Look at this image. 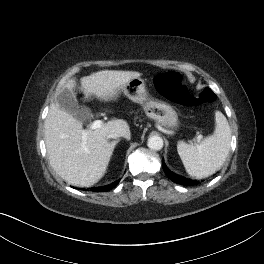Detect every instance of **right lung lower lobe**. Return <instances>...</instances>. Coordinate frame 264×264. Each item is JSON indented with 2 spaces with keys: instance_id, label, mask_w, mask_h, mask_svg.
Wrapping results in <instances>:
<instances>
[{
  "instance_id": "right-lung-lower-lobe-1",
  "label": "right lung lower lobe",
  "mask_w": 264,
  "mask_h": 264,
  "mask_svg": "<svg viewBox=\"0 0 264 264\" xmlns=\"http://www.w3.org/2000/svg\"><path fill=\"white\" fill-rule=\"evenodd\" d=\"M120 180L108 185V186H102V187H96V188H92L91 190L92 191H95V192H103V191H109L110 189L114 188L118 183H119Z\"/></svg>"
}]
</instances>
